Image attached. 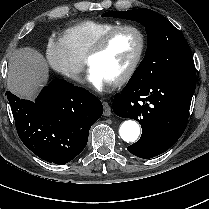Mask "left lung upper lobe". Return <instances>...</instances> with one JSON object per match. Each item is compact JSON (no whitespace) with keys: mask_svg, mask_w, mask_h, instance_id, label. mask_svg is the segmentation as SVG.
Returning <instances> with one entry per match:
<instances>
[{"mask_svg":"<svg viewBox=\"0 0 209 209\" xmlns=\"http://www.w3.org/2000/svg\"><path fill=\"white\" fill-rule=\"evenodd\" d=\"M103 16L134 20L145 26L148 35L146 54L130 79L154 80L194 66L192 52L185 37L159 13L140 8L110 11Z\"/></svg>","mask_w":209,"mask_h":209,"instance_id":"obj_1","label":"left lung upper lobe"}]
</instances>
